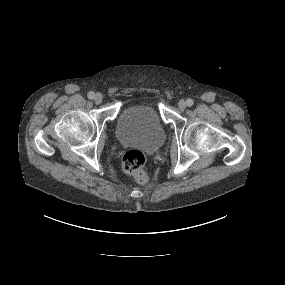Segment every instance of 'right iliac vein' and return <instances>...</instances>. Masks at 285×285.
I'll list each match as a JSON object with an SVG mask.
<instances>
[{
	"mask_svg": "<svg viewBox=\"0 0 285 285\" xmlns=\"http://www.w3.org/2000/svg\"><path fill=\"white\" fill-rule=\"evenodd\" d=\"M103 100V97L100 93H97L95 96H94V101L96 104H100Z\"/></svg>",
	"mask_w": 285,
	"mask_h": 285,
	"instance_id": "right-iliac-vein-1",
	"label": "right iliac vein"
}]
</instances>
